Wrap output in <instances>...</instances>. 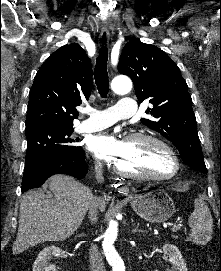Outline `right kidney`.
<instances>
[{"instance_id":"obj_1","label":"right kidney","mask_w":221,"mask_h":271,"mask_svg":"<svg viewBox=\"0 0 221 271\" xmlns=\"http://www.w3.org/2000/svg\"><path fill=\"white\" fill-rule=\"evenodd\" d=\"M64 253L61 247H56V245H48L39 251L34 263L33 271H57L56 265L50 263L53 255H62Z\"/></svg>"}]
</instances>
